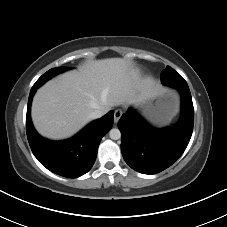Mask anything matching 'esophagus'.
<instances>
[{
  "mask_svg": "<svg viewBox=\"0 0 227 227\" xmlns=\"http://www.w3.org/2000/svg\"><path fill=\"white\" fill-rule=\"evenodd\" d=\"M122 114H123V112L120 109L115 110V112H114V123H118Z\"/></svg>",
  "mask_w": 227,
  "mask_h": 227,
  "instance_id": "34e87169",
  "label": "esophagus"
}]
</instances>
